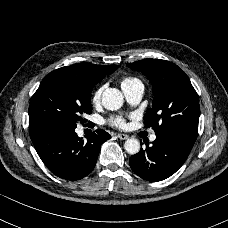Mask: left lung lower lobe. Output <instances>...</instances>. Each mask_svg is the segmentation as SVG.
I'll return each instance as SVG.
<instances>
[{"label": "left lung lower lobe", "mask_w": 228, "mask_h": 228, "mask_svg": "<svg viewBox=\"0 0 228 228\" xmlns=\"http://www.w3.org/2000/svg\"><path fill=\"white\" fill-rule=\"evenodd\" d=\"M129 158L134 173L147 181H161L173 175L186 161L195 141L176 135H156L152 145ZM142 144V143H141Z\"/></svg>", "instance_id": "1"}]
</instances>
